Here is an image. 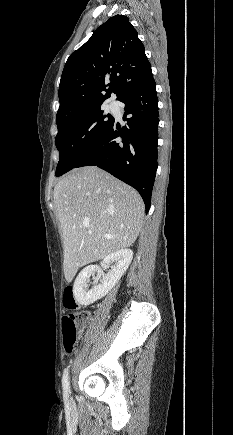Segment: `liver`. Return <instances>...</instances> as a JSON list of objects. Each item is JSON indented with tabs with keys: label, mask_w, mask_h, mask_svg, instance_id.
Instances as JSON below:
<instances>
[{
	"label": "liver",
	"mask_w": 233,
	"mask_h": 435,
	"mask_svg": "<svg viewBox=\"0 0 233 435\" xmlns=\"http://www.w3.org/2000/svg\"><path fill=\"white\" fill-rule=\"evenodd\" d=\"M53 196L68 282L80 267L131 246L138 237L145 210L141 196L96 166L72 170L56 184Z\"/></svg>",
	"instance_id": "liver-1"
}]
</instances>
